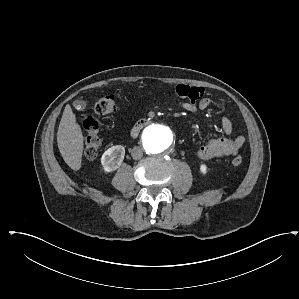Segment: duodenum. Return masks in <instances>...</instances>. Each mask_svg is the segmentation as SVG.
Listing matches in <instances>:
<instances>
[{"label": "duodenum", "instance_id": "410a0bca", "mask_svg": "<svg viewBox=\"0 0 299 299\" xmlns=\"http://www.w3.org/2000/svg\"><path fill=\"white\" fill-rule=\"evenodd\" d=\"M151 120L148 117L138 120L131 131V137L134 139L138 136L139 132L145 127Z\"/></svg>", "mask_w": 299, "mask_h": 299}]
</instances>
